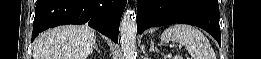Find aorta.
<instances>
[{"instance_id":"aorta-1","label":"aorta","mask_w":261,"mask_h":59,"mask_svg":"<svg viewBox=\"0 0 261 59\" xmlns=\"http://www.w3.org/2000/svg\"><path fill=\"white\" fill-rule=\"evenodd\" d=\"M136 32V14L132 9H127L120 24V44L125 59H136Z\"/></svg>"}]
</instances>
